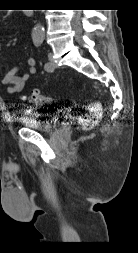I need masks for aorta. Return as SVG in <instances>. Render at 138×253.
I'll use <instances>...</instances> for the list:
<instances>
[{"label": "aorta", "mask_w": 138, "mask_h": 253, "mask_svg": "<svg viewBox=\"0 0 138 253\" xmlns=\"http://www.w3.org/2000/svg\"><path fill=\"white\" fill-rule=\"evenodd\" d=\"M45 35L44 27L40 24L35 25L32 31V38L36 39H43Z\"/></svg>", "instance_id": "aorta-1"}]
</instances>
